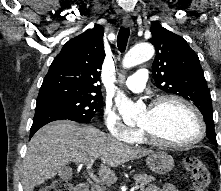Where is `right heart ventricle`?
<instances>
[{"label": "right heart ventricle", "mask_w": 221, "mask_h": 191, "mask_svg": "<svg viewBox=\"0 0 221 191\" xmlns=\"http://www.w3.org/2000/svg\"><path fill=\"white\" fill-rule=\"evenodd\" d=\"M145 141L143 135L140 133L133 143H143Z\"/></svg>", "instance_id": "e07e8e85"}]
</instances>
